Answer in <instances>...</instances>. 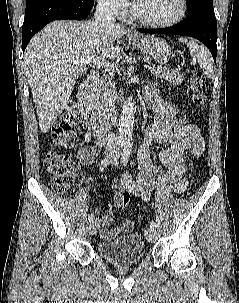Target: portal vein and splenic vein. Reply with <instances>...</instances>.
Segmentation results:
<instances>
[{"label":"portal vein and splenic vein","instance_id":"portal-vein-and-splenic-vein-1","mask_svg":"<svg viewBox=\"0 0 239 303\" xmlns=\"http://www.w3.org/2000/svg\"><path fill=\"white\" fill-rule=\"evenodd\" d=\"M79 62H80L81 64H82V63H85V64H90V63H92V64L97 65V66H104V67H107L108 69H109V67H110V64H109V63H107L104 59L100 60L99 58H97V59H91V58L83 59V58H82V59L79 60ZM144 67L150 69L151 71H155V72H160V71L163 70V69H161V68H157V70H156V69H154V67H151L150 65H144ZM110 68H111L112 71H114V67H113V66H111Z\"/></svg>","mask_w":239,"mask_h":303}]
</instances>
